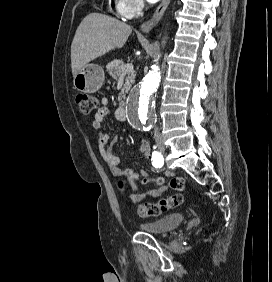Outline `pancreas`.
Returning <instances> with one entry per match:
<instances>
[{
  "label": "pancreas",
  "mask_w": 272,
  "mask_h": 282,
  "mask_svg": "<svg viewBox=\"0 0 272 282\" xmlns=\"http://www.w3.org/2000/svg\"><path fill=\"white\" fill-rule=\"evenodd\" d=\"M126 65L124 64L123 60H113L106 66V71L109 73V75L117 80L118 78L121 77L122 75V70ZM125 77V84L118 96L119 104L123 105L124 104V99L126 96V93L129 91L131 88L132 83L135 80L136 73L134 71L127 72Z\"/></svg>",
  "instance_id": "cf45deb5"
}]
</instances>
